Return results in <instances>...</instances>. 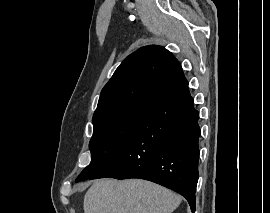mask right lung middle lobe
<instances>
[{
    "instance_id": "obj_1",
    "label": "right lung middle lobe",
    "mask_w": 270,
    "mask_h": 213,
    "mask_svg": "<svg viewBox=\"0 0 270 213\" xmlns=\"http://www.w3.org/2000/svg\"><path fill=\"white\" fill-rule=\"evenodd\" d=\"M156 105L146 101H135L93 117L94 131L89 143L91 162L76 182L99 173Z\"/></svg>"
}]
</instances>
